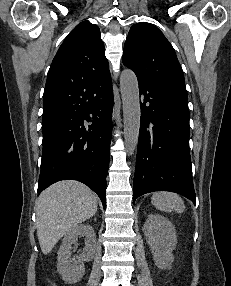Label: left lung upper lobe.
<instances>
[{
  "label": "left lung upper lobe",
  "instance_id": "5c2ea615",
  "mask_svg": "<svg viewBox=\"0 0 231 286\" xmlns=\"http://www.w3.org/2000/svg\"><path fill=\"white\" fill-rule=\"evenodd\" d=\"M123 64L135 72L138 80L187 92L172 45L151 24L141 22L131 27L124 46Z\"/></svg>",
  "mask_w": 231,
  "mask_h": 286
}]
</instances>
